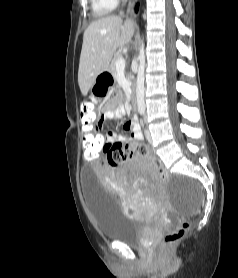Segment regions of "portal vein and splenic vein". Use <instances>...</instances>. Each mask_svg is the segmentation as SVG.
Instances as JSON below:
<instances>
[{
    "instance_id": "obj_1",
    "label": "portal vein and splenic vein",
    "mask_w": 238,
    "mask_h": 278,
    "mask_svg": "<svg viewBox=\"0 0 238 278\" xmlns=\"http://www.w3.org/2000/svg\"><path fill=\"white\" fill-rule=\"evenodd\" d=\"M124 68H125V59L121 57L116 61V69L122 70Z\"/></svg>"
}]
</instances>
